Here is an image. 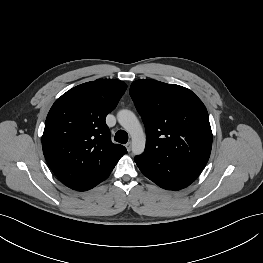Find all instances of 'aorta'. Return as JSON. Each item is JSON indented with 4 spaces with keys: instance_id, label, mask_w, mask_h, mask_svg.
I'll use <instances>...</instances> for the list:
<instances>
[{
    "instance_id": "762f6f07",
    "label": "aorta",
    "mask_w": 263,
    "mask_h": 263,
    "mask_svg": "<svg viewBox=\"0 0 263 263\" xmlns=\"http://www.w3.org/2000/svg\"><path fill=\"white\" fill-rule=\"evenodd\" d=\"M117 119L131 136L133 154H142L145 149L146 136L136 115L132 111L124 109L117 113Z\"/></svg>"
}]
</instances>
